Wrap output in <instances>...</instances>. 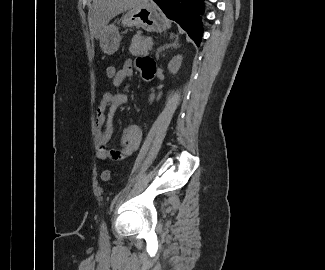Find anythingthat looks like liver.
Listing matches in <instances>:
<instances>
[{
	"label": "liver",
	"mask_w": 325,
	"mask_h": 270,
	"mask_svg": "<svg viewBox=\"0 0 325 270\" xmlns=\"http://www.w3.org/2000/svg\"><path fill=\"white\" fill-rule=\"evenodd\" d=\"M147 2L148 0H93L91 26L94 37L101 39L109 21L119 13Z\"/></svg>",
	"instance_id": "1"
}]
</instances>
